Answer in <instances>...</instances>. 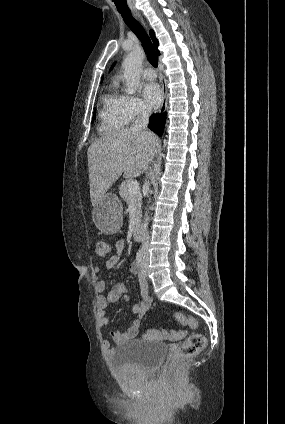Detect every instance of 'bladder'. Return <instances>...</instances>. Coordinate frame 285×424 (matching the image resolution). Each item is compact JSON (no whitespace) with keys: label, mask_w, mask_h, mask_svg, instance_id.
I'll return each mask as SVG.
<instances>
[{"label":"bladder","mask_w":285,"mask_h":424,"mask_svg":"<svg viewBox=\"0 0 285 424\" xmlns=\"http://www.w3.org/2000/svg\"><path fill=\"white\" fill-rule=\"evenodd\" d=\"M167 351L165 343L133 339L114 349L110 364L118 370L148 372L160 364Z\"/></svg>","instance_id":"bladder-1"}]
</instances>
